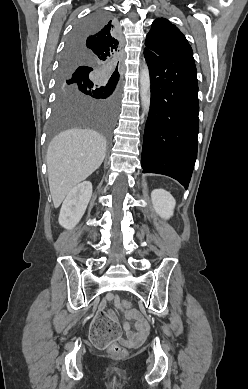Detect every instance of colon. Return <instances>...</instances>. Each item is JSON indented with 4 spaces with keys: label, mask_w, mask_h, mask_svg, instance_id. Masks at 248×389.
<instances>
[{
    "label": "colon",
    "mask_w": 248,
    "mask_h": 389,
    "mask_svg": "<svg viewBox=\"0 0 248 389\" xmlns=\"http://www.w3.org/2000/svg\"><path fill=\"white\" fill-rule=\"evenodd\" d=\"M120 305L122 308L129 310L132 303L127 300H122ZM90 328L92 347H95L96 350H107L108 348L109 355L115 358H120L125 355L126 350L124 347L112 343L113 337L123 336V331L118 330L119 326L116 319L110 318L105 311H95L94 322L90 323Z\"/></svg>",
    "instance_id": "colon-1"
}]
</instances>
